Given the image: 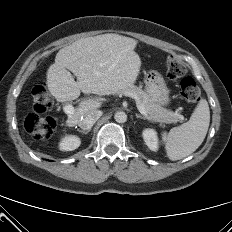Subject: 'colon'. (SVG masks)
I'll return each mask as SVG.
<instances>
[{"mask_svg": "<svg viewBox=\"0 0 232 232\" xmlns=\"http://www.w3.org/2000/svg\"><path fill=\"white\" fill-rule=\"evenodd\" d=\"M167 75L170 79H180V96L189 103L199 102L201 90L193 78L186 77V66L175 56H168L165 61ZM32 101L34 112L27 115L24 121L25 130L36 140H47L55 128V121L51 117L41 114L48 111L54 101L43 83H38L32 88Z\"/></svg>", "mask_w": 232, "mask_h": 232, "instance_id": "obj_1", "label": "colon"}]
</instances>
